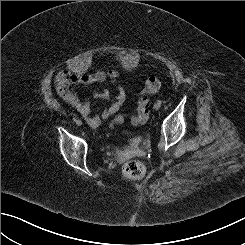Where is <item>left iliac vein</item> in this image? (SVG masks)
I'll list each match as a JSON object with an SVG mask.
<instances>
[{"label":"left iliac vein","instance_id":"left-iliac-vein-1","mask_svg":"<svg viewBox=\"0 0 245 245\" xmlns=\"http://www.w3.org/2000/svg\"><path fill=\"white\" fill-rule=\"evenodd\" d=\"M160 107H161V105H159V104H157V103L154 104V109H155V110L160 109Z\"/></svg>","mask_w":245,"mask_h":245}]
</instances>
